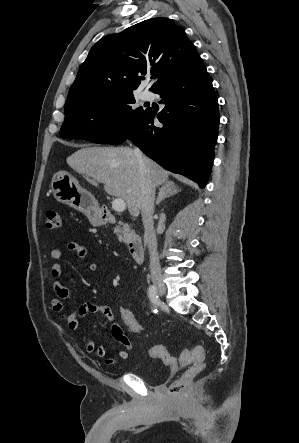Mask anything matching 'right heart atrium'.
Here are the masks:
<instances>
[{
    "instance_id": "d8ad5b80",
    "label": "right heart atrium",
    "mask_w": 299,
    "mask_h": 443,
    "mask_svg": "<svg viewBox=\"0 0 299 443\" xmlns=\"http://www.w3.org/2000/svg\"><path fill=\"white\" fill-rule=\"evenodd\" d=\"M113 120V118H110V122Z\"/></svg>"
}]
</instances>
